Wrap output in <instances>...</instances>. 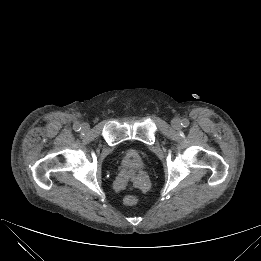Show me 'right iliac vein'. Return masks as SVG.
I'll return each mask as SVG.
<instances>
[{
  "label": "right iliac vein",
  "instance_id": "right-iliac-vein-1",
  "mask_svg": "<svg viewBox=\"0 0 261 261\" xmlns=\"http://www.w3.org/2000/svg\"><path fill=\"white\" fill-rule=\"evenodd\" d=\"M82 130H83L84 132H87V131L89 130V125H88L87 123H84V124L82 125Z\"/></svg>",
  "mask_w": 261,
  "mask_h": 261
}]
</instances>
